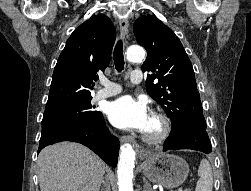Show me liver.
I'll use <instances>...</instances> for the list:
<instances>
[{
    "label": "liver",
    "mask_w": 251,
    "mask_h": 191,
    "mask_svg": "<svg viewBox=\"0 0 251 191\" xmlns=\"http://www.w3.org/2000/svg\"><path fill=\"white\" fill-rule=\"evenodd\" d=\"M37 167L41 191H99L106 169L99 155L72 141L41 149Z\"/></svg>",
    "instance_id": "1"
}]
</instances>
